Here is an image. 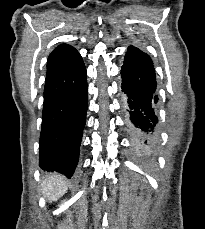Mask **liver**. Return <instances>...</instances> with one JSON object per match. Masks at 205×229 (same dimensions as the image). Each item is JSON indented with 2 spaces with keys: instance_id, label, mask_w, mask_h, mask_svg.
<instances>
[{
  "instance_id": "6515ba94",
  "label": "liver",
  "mask_w": 205,
  "mask_h": 229,
  "mask_svg": "<svg viewBox=\"0 0 205 229\" xmlns=\"http://www.w3.org/2000/svg\"><path fill=\"white\" fill-rule=\"evenodd\" d=\"M67 191V184L63 176L54 174L42 183V193L49 202H53L63 196Z\"/></svg>"
}]
</instances>
